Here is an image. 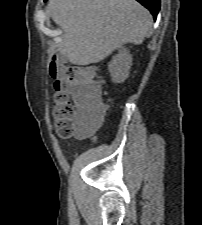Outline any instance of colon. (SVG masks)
Here are the masks:
<instances>
[{
  "label": "colon",
  "instance_id": "obj_1",
  "mask_svg": "<svg viewBox=\"0 0 202 225\" xmlns=\"http://www.w3.org/2000/svg\"><path fill=\"white\" fill-rule=\"evenodd\" d=\"M46 74L54 80L52 115L57 135L65 140L87 135L88 127L75 121V107L70 95L74 93L82 100L91 115L103 114L106 104L101 95L100 81L81 67L62 68L56 58L48 61Z\"/></svg>",
  "mask_w": 202,
  "mask_h": 225
}]
</instances>
